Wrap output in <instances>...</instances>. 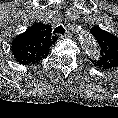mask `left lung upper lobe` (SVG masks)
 Returning <instances> with one entry per match:
<instances>
[{"instance_id": "5c2ea615", "label": "left lung upper lobe", "mask_w": 118, "mask_h": 118, "mask_svg": "<svg viewBox=\"0 0 118 118\" xmlns=\"http://www.w3.org/2000/svg\"><path fill=\"white\" fill-rule=\"evenodd\" d=\"M90 33L100 46V58L90 61L102 70L118 66V38L98 26L92 27Z\"/></svg>"}]
</instances>
